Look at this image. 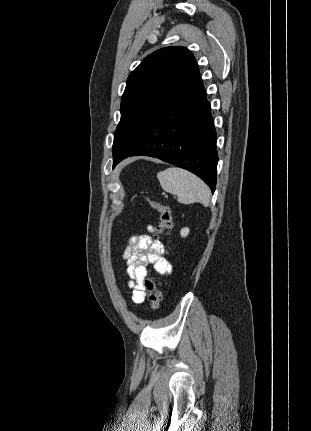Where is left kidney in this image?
Returning a JSON list of instances; mask_svg holds the SVG:
<instances>
[{"label":"left kidney","mask_w":311,"mask_h":431,"mask_svg":"<svg viewBox=\"0 0 311 431\" xmlns=\"http://www.w3.org/2000/svg\"><path fill=\"white\" fill-rule=\"evenodd\" d=\"M190 229L189 227H182L181 231H180V235H182V237H186V235H188Z\"/></svg>","instance_id":"left-kidney-1"}]
</instances>
